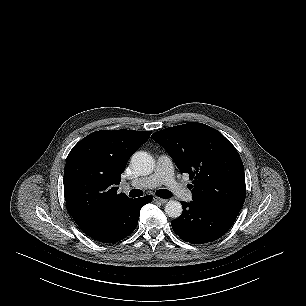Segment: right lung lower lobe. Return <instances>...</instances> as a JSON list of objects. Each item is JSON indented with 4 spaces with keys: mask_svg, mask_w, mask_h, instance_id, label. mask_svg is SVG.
I'll return each instance as SVG.
<instances>
[{
    "mask_svg": "<svg viewBox=\"0 0 306 306\" xmlns=\"http://www.w3.org/2000/svg\"><path fill=\"white\" fill-rule=\"evenodd\" d=\"M151 201L150 195L130 198L108 221L86 235L103 243H114L124 239L135 230L141 208Z\"/></svg>",
    "mask_w": 306,
    "mask_h": 306,
    "instance_id": "right-lung-lower-lobe-1",
    "label": "right lung lower lobe"
}]
</instances>
